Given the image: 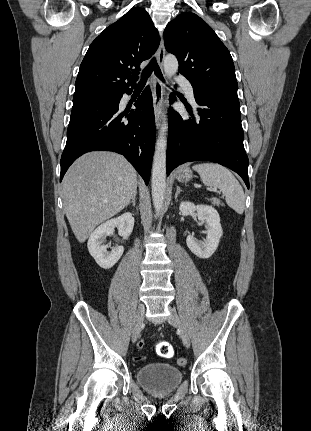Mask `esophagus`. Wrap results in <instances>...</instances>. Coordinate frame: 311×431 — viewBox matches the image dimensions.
<instances>
[{
  "label": "esophagus",
  "mask_w": 311,
  "mask_h": 431,
  "mask_svg": "<svg viewBox=\"0 0 311 431\" xmlns=\"http://www.w3.org/2000/svg\"><path fill=\"white\" fill-rule=\"evenodd\" d=\"M165 58V47L163 41L157 51V61L159 67H163V62ZM153 82V106H154V117L156 128L158 129L161 125V104L164 95V87L162 81L155 75L152 76Z\"/></svg>",
  "instance_id": "1"
}]
</instances>
